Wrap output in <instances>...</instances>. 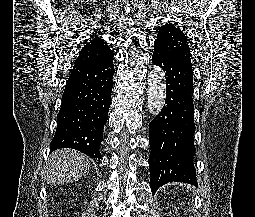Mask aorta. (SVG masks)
<instances>
[{"instance_id":"1","label":"aorta","mask_w":255,"mask_h":217,"mask_svg":"<svg viewBox=\"0 0 255 217\" xmlns=\"http://www.w3.org/2000/svg\"><path fill=\"white\" fill-rule=\"evenodd\" d=\"M165 73L160 68H154L148 78V108L152 115H157L164 106L166 98Z\"/></svg>"}]
</instances>
